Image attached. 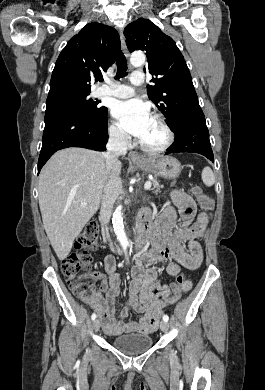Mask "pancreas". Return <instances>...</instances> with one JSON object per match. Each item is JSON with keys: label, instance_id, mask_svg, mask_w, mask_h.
<instances>
[{"label": "pancreas", "instance_id": "1", "mask_svg": "<svg viewBox=\"0 0 265 390\" xmlns=\"http://www.w3.org/2000/svg\"><path fill=\"white\" fill-rule=\"evenodd\" d=\"M153 185H154L153 190L156 191V192L162 187V186L159 184V182L157 181V179H154Z\"/></svg>", "mask_w": 265, "mask_h": 390}]
</instances>
